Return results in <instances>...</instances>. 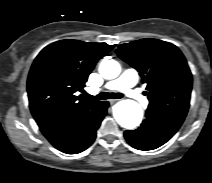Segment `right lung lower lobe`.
I'll return each instance as SVG.
<instances>
[{
    "label": "right lung lower lobe",
    "instance_id": "obj_1",
    "mask_svg": "<svg viewBox=\"0 0 212 183\" xmlns=\"http://www.w3.org/2000/svg\"><path fill=\"white\" fill-rule=\"evenodd\" d=\"M108 106L107 101H102L90 111L60 120L41 128V131L58 150L67 154L80 153L94 142Z\"/></svg>",
    "mask_w": 212,
    "mask_h": 183
}]
</instances>
